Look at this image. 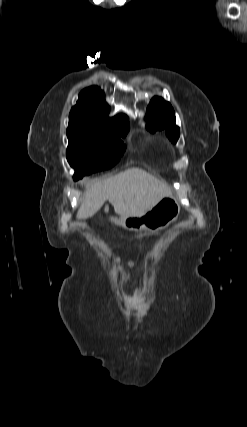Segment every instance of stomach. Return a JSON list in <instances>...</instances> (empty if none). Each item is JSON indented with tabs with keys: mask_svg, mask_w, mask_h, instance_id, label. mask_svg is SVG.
<instances>
[{
	"mask_svg": "<svg viewBox=\"0 0 247 427\" xmlns=\"http://www.w3.org/2000/svg\"><path fill=\"white\" fill-rule=\"evenodd\" d=\"M180 214V204L172 195L162 198L145 214L111 220L127 230L156 232L168 227Z\"/></svg>",
	"mask_w": 247,
	"mask_h": 427,
	"instance_id": "obj_1",
	"label": "stomach"
}]
</instances>
